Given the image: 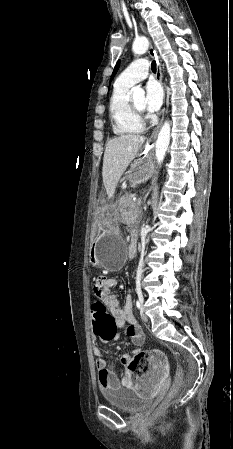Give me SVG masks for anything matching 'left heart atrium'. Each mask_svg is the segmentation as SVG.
<instances>
[{
    "label": "left heart atrium",
    "mask_w": 233,
    "mask_h": 449,
    "mask_svg": "<svg viewBox=\"0 0 233 449\" xmlns=\"http://www.w3.org/2000/svg\"><path fill=\"white\" fill-rule=\"evenodd\" d=\"M163 102V91L158 82L151 80L146 85L145 109L156 112Z\"/></svg>",
    "instance_id": "1"
}]
</instances>
